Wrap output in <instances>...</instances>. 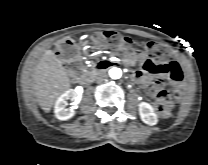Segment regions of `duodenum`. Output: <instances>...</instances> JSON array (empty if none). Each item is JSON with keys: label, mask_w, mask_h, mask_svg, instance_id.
<instances>
[{"label": "duodenum", "mask_w": 208, "mask_h": 165, "mask_svg": "<svg viewBox=\"0 0 208 165\" xmlns=\"http://www.w3.org/2000/svg\"><path fill=\"white\" fill-rule=\"evenodd\" d=\"M110 66L107 62H100L95 66L94 71L91 74H85L79 78V82L83 85H87L93 81V77L99 72L106 70Z\"/></svg>", "instance_id": "1"}]
</instances>
